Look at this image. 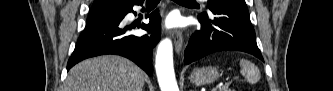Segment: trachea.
I'll use <instances>...</instances> for the list:
<instances>
[{
  "label": "trachea",
  "mask_w": 333,
  "mask_h": 91,
  "mask_svg": "<svg viewBox=\"0 0 333 91\" xmlns=\"http://www.w3.org/2000/svg\"><path fill=\"white\" fill-rule=\"evenodd\" d=\"M174 1H176L177 3H186V2H193V0H174ZM150 3H157L158 2V0H150L149 1Z\"/></svg>",
  "instance_id": "trachea-1"
}]
</instances>
